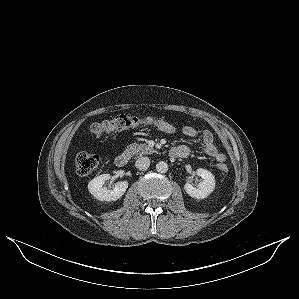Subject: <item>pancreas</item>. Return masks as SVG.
<instances>
[{"mask_svg":"<svg viewBox=\"0 0 299 299\" xmlns=\"http://www.w3.org/2000/svg\"><path fill=\"white\" fill-rule=\"evenodd\" d=\"M154 152L153 148H150L146 143L143 144H130L125 153L128 155H145V154H152Z\"/></svg>","mask_w":299,"mask_h":299,"instance_id":"obj_1","label":"pancreas"}]
</instances>
